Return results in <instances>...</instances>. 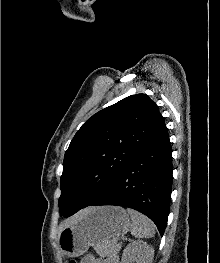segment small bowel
Segmentation results:
<instances>
[{
    "mask_svg": "<svg viewBox=\"0 0 220 263\" xmlns=\"http://www.w3.org/2000/svg\"><path fill=\"white\" fill-rule=\"evenodd\" d=\"M81 263H116L113 261L98 260L93 255H86Z\"/></svg>",
    "mask_w": 220,
    "mask_h": 263,
    "instance_id": "obj_1",
    "label": "small bowel"
}]
</instances>
